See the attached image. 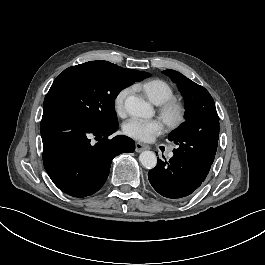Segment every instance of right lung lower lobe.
<instances>
[{
	"label": "right lung lower lobe",
	"mask_w": 265,
	"mask_h": 265,
	"mask_svg": "<svg viewBox=\"0 0 265 265\" xmlns=\"http://www.w3.org/2000/svg\"><path fill=\"white\" fill-rule=\"evenodd\" d=\"M117 130L118 125L93 128L64 113L43 112V163L53 183L74 197L98 191L108 177L112 159L135 149L134 141L126 136L107 138ZM93 136L97 143L91 141Z\"/></svg>",
	"instance_id": "1"
}]
</instances>
